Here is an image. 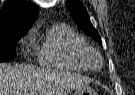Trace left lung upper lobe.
<instances>
[{
  "label": "left lung upper lobe",
  "mask_w": 135,
  "mask_h": 95,
  "mask_svg": "<svg viewBox=\"0 0 135 95\" xmlns=\"http://www.w3.org/2000/svg\"><path fill=\"white\" fill-rule=\"evenodd\" d=\"M66 7L73 16L76 24L97 42L102 43L98 32L90 22L89 15L83 4L79 0H69L66 2Z\"/></svg>",
  "instance_id": "obj_1"
}]
</instances>
